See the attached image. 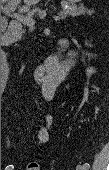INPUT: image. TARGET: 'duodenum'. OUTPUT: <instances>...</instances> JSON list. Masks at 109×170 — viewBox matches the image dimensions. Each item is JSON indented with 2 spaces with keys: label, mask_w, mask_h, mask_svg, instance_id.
I'll return each instance as SVG.
<instances>
[{
  "label": "duodenum",
  "mask_w": 109,
  "mask_h": 170,
  "mask_svg": "<svg viewBox=\"0 0 109 170\" xmlns=\"http://www.w3.org/2000/svg\"><path fill=\"white\" fill-rule=\"evenodd\" d=\"M18 24L15 22L11 23L10 31L5 33L2 37V44L4 46H8L12 43V37L11 32L13 30L18 29ZM61 45L63 47L67 46V40L61 41ZM68 60L70 62H73V58L69 57ZM57 65V57H49L47 58L43 63H40L35 71H34V82L33 87L38 86L44 90L50 89L54 86V81L47 76L48 70L50 66H56Z\"/></svg>",
  "instance_id": "1"
}]
</instances>
